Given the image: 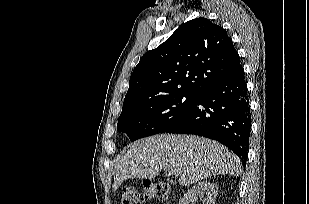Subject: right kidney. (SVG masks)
<instances>
[{"label":"right kidney","instance_id":"right-kidney-1","mask_svg":"<svg viewBox=\"0 0 309 204\" xmlns=\"http://www.w3.org/2000/svg\"><path fill=\"white\" fill-rule=\"evenodd\" d=\"M204 194L203 204H215V199L218 194V187L215 183L201 181L195 184L188 190L187 193L180 199L179 204H190L196 201L197 196Z\"/></svg>","mask_w":309,"mask_h":204}]
</instances>
